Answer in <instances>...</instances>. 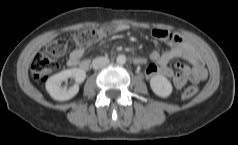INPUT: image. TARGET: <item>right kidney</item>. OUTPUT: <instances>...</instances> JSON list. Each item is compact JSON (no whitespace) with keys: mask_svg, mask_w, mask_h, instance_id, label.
<instances>
[{"mask_svg":"<svg viewBox=\"0 0 238 145\" xmlns=\"http://www.w3.org/2000/svg\"><path fill=\"white\" fill-rule=\"evenodd\" d=\"M68 78H74L76 84L67 89L61 84ZM86 78V73L80 68H73L61 71L51 76L46 81V90L50 96L57 101H66L73 98L79 91V84Z\"/></svg>","mask_w":238,"mask_h":145,"instance_id":"right-kidney-1","label":"right kidney"}]
</instances>
